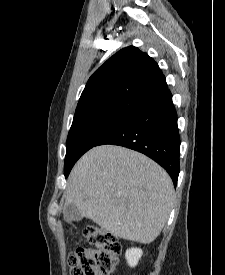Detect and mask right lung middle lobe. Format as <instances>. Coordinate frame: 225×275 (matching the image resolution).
<instances>
[{
    "instance_id": "1",
    "label": "right lung middle lobe",
    "mask_w": 225,
    "mask_h": 275,
    "mask_svg": "<svg viewBox=\"0 0 225 275\" xmlns=\"http://www.w3.org/2000/svg\"><path fill=\"white\" fill-rule=\"evenodd\" d=\"M128 113L103 112L73 121L68 133L65 156V177L75 162L119 124Z\"/></svg>"
}]
</instances>
